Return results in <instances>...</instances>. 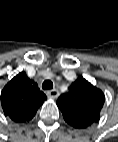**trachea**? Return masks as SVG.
I'll list each match as a JSON object with an SVG mask.
<instances>
[{"mask_svg": "<svg viewBox=\"0 0 118 142\" xmlns=\"http://www.w3.org/2000/svg\"><path fill=\"white\" fill-rule=\"evenodd\" d=\"M42 88L44 90H49V89H52L53 88V83L51 80H45L42 84Z\"/></svg>", "mask_w": 118, "mask_h": 142, "instance_id": "1", "label": "trachea"}]
</instances>
